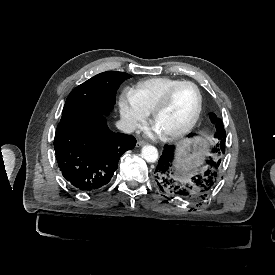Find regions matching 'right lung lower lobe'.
<instances>
[{"label":"right lung lower lobe","instance_id":"1","mask_svg":"<svg viewBox=\"0 0 275 275\" xmlns=\"http://www.w3.org/2000/svg\"><path fill=\"white\" fill-rule=\"evenodd\" d=\"M135 144L133 136L112 132L100 112L85 110L64 111L54 138L62 175L84 192L106 185L122 154Z\"/></svg>","mask_w":275,"mask_h":275}]
</instances>
